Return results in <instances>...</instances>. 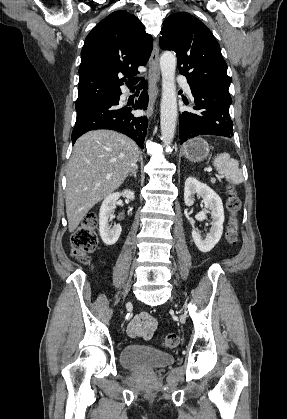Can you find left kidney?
Instances as JSON below:
<instances>
[{"label": "left kidney", "mask_w": 287, "mask_h": 419, "mask_svg": "<svg viewBox=\"0 0 287 419\" xmlns=\"http://www.w3.org/2000/svg\"><path fill=\"white\" fill-rule=\"evenodd\" d=\"M195 194L202 198L206 208L196 214L195 218L203 221L207 218L206 214L208 212L211 213V228L206 238H203L195 229L192 230L195 245L201 252L206 253L214 248L222 236L224 222L223 203L219 195L207 186V184L198 181L194 177H188L184 187V202L186 206H192L194 204Z\"/></svg>", "instance_id": "obj_1"}]
</instances>
